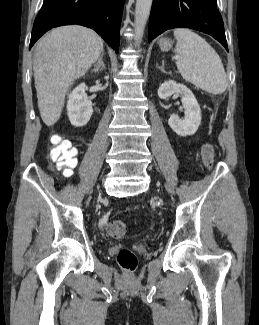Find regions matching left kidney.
<instances>
[{
	"label": "left kidney",
	"mask_w": 259,
	"mask_h": 325,
	"mask_svg": "<svg viewBox=\"0 0 259 325\" xmlns=\"http://www.w3.org/2000/svg\"><path fill=\"white\" fill-rule=\"evenodd\" d=\"M173 94L180 95L185 118L181 120L177 115L171 114L168 120L170 128L179 136L193 135L201 123V109L190 89L185 85L169 80L164 82L158 89V96L166 99Z\"/></svg>",
	"instance_id": "obj_1"
}]
</instances>
